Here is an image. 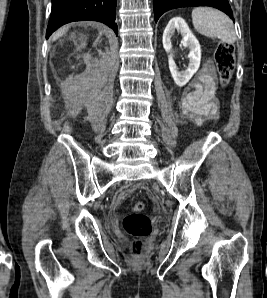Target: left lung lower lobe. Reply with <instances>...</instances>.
Returning <instances> with one entry per match:
<instances>
[{
    "mask_svg": "<svg viewBox=\"0 0 267 298\" xmlns=\"http://www.w3.org/2000/svg\"><path fill=\"white\" fill-rule=\"evenodd\" d=\"M155 22L166 11L192 6H211L225 12L230 18H233L232 10L228 0H153Z\"/></svg>",
    "mask_w": 267,
    "mask_h": 298,
    "instance_id": "obj_1",
    "label": "left lung lower lobe"
}]
</instances>
